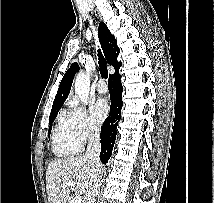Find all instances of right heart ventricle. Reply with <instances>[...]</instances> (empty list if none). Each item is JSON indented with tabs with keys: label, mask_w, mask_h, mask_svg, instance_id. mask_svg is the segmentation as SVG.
<instances>
[{
	"label": "right heart ventricle",
	"mask_w": 214,
	"mask_h": 203,
	"mask_svg": "<svg viewBox=\"0 0 214 203\" xmlns=\"http://www.w3.org/2000/svg\"><path fill=\"white\" fill-rule=\"evenodd\" d=\"M52 148L56 156L65 158L79 153L82 147L72 138L65 126L59 121L52 133Z\"/></svg>",
	"instance_id": "obj_1"
}]
</instances>
